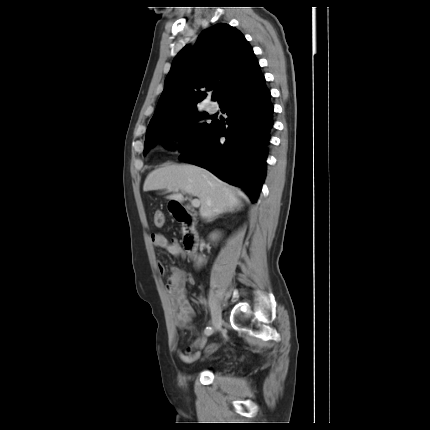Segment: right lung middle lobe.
Returning <instances> with one entry per match:
<instances>
[{
  "mask_svg": "<svg viewBox=\"0 0 430 430\" xmlns=\"http://www.w3.org/2000/svg\"><path fill=\"white\" fill-rule=\"evenodd\" d=\"M207 117V114H201L196 109H191L177 114L167 120L153 125L147 130L145 140V150L151 146L155 140L165 138L162 140L163 144L168 146L166 141H169L177 131L187 130V138L184 140L185 153H191L196 148L201 146L207 137L210 135L211 130L216 125L217 121L213 120L211 123H201L200 121Z\"/></svg>",
  "mask_w": 430,
  "mask_h": 430,
  "instance_id": "1",
  "label": "right lung middle lobe"
}]
</instances>
